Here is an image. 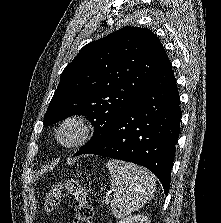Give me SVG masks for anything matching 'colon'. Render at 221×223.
I'll list each match as a JSON object with an SVG mask.
<instances>
[{"mask_svg": "<svg viewBox=\"0 0 221 223\" xmlns=\"http://www.w3.org/2000/svg\"><path fill=\"white\" fill-rule=\"evenodd\" d=\"M89 192L77 179L59 182L51 188L46 195L45 210L54 211L59 208L61 201L65 198H73L76 206L73 210L72 223H90L93 208L88 202Z\"/></svg>", "mask_w": 221, "mask_h": 223, "instance_id": "1", "label": "colon"}]
</instances>
